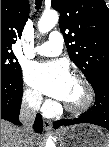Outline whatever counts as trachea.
Here are the masks:
<instances>
[{"label":"trachea","mask_w":109,"mask_h":147,"mask_svg":"<svg viewBox=\"0 0 109 147\" xmlns=\"http://www.w3.org/2000/svg\"><path fill=\"white\" fill-rule=\"evenodd\" d=\"M35 4H36V9H40V7H41V4H42V0H36V2H35Z\"/></svg>","instance_id":"3493384b"}]
</instances>
